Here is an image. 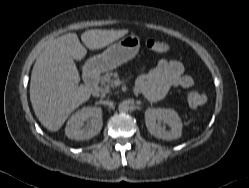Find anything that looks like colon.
<instances>
[{"instance_id":"1","label":"colon","mask_w":249,"mask_h":188,"mask_svg":"<svg viewBox=\"0 0 249 188\" xmlns=\"http://www.w3.org/2000/svg\"><path fill=\"white\" fill-rule=\"evenodd\" d=\"M146 47L157 53L166 52L169 48L167 42L156 39H149L146 41ZM188 102L192 107H201L206 104L207 98L204 94L197 91H191L188 94Z\"/></svg>"}]
</instances>
